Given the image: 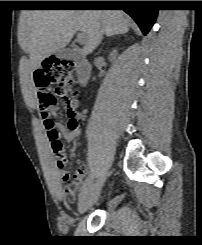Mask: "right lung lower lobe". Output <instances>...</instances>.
Returning a JSON list of instances; mask_svg holds the SVG:
<instances>
[{
    "mask_svg": "<svg viewBox=\"0 0 202 245\" xmlns=\"http://www.w3.org/2000/svg\"><path fill=\"white\" fill-rule=\"evenodd\" d=\"M81 7H122L146 35L155 23L158 10L152 1H80Z\"/></svg>",
    "mask_w": 202,
    "mask_h": 245,
    "instance_id": "obj_1",
    "label": "right lung lower lobe"
}]
</instances>
